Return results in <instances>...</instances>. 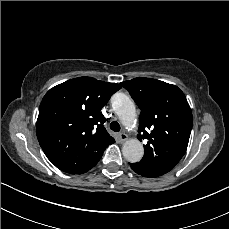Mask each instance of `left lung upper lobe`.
Here are the masks:
<instances>
[{"instance_id":"left-lung-upper-lobe-1","label":"left lung upper lobe","mask_w":229,"mask_h":229,"mask_svg":"<svg viewBox=\"0 0 229 229\" xmlns=\"http://www.w3.org/2000/svg\"><path fill=\"white\" fill-rule=\"evenodd\" d=\"M120 85L141 110L137 137L140 141L147 139V143L137 164L154 177L169 172L184 156L193 125L184 93L175 85L144 77Z\"/></svg>"}]
</instances>
